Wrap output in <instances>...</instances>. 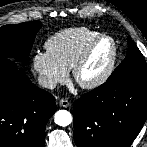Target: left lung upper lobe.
Wrapping results in <instances>:
<instances>
[{
  "instance_id": "left-lung-upper-lobe-1",
  "label": "left lung upper lobe",
  "mask_w": 147,
  "mask_h": 147,
  "mask_svg": "<svg viewBox=\"0 0 147 147\" xmlns=\"http://www.w3.org/2000/svg\"><path fill=\"white\" fill-rule=\"evenodd\" d=\"M127 41L129 46L127 55L108 80L128 76L147 78V64L143 55L130 37Z\"/></svg>"
}]
</instances>
